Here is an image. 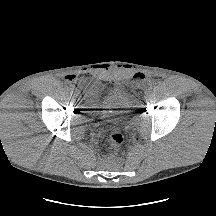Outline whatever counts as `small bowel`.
<instances>
[{
    "label": "small bowel",
    "instance_id": "1",
    "mask_svg": "<svg viewBox=\"0 0 216 216\" xmlns=\"http://www.w3.org/2000/svg\"><path fill=\"white\" fill-rule=\"evenodd\" d=\"M144 77H145L144 74L136 73L133 76V79H134V81H140V80H143ZM66 80L68 82H74L77 80V76L76 75H68V76H66ZM98 88H99V85L97 83H92L89 87L90 91H96Z\"/></svg>",
    "mask_w": 216,
    "mask_h": 216
}]
</instances>
